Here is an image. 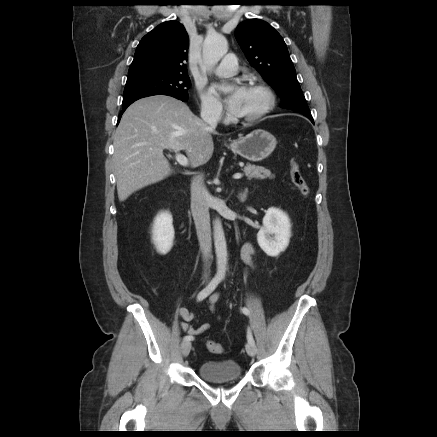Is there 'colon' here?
Here are the masks:
<instances>
[{
    "label": "colon",
    "mask_w": 437,
    "mask_h": 437,
    "mask_svg": "<svg viewBox=\"0 0 437 437\" xmlns=\"http://www.w3.org/2000/svg\"><path fill=\"white\" fill-rule=\"evenodd\" d=\"M290 177L293 185L297 188L301 195L308 197L310 194V189L296 161H292L290 164ZM206 345L207 349L211 353L221 354L224 352L223 346L218 342L210 340Z\"/></svg>",
    "instance_id": "obj_1"
}]
</instances>
